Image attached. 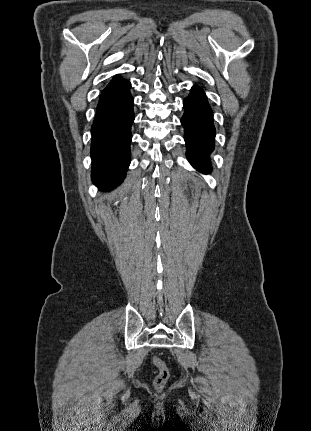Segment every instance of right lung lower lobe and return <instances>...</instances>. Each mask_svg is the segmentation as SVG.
<instances>
[{"label":"right lung lower lobe","mask_w":311,"mask_h":431,"mask_svg":"<svg viewBox=\"0 0 311 431\" xmlns=\"http://www.w3.org/2000/svg\"><path fill=\"white\" fill-rule=\"evenodd\" d=\"M131 83L114 77L102 91L91 132L92 181L102 190L119 185L130 164L134 100Z\"/></svg>","instance_id":"1"}]
</instances>
